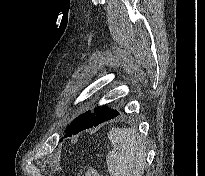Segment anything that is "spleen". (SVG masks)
I'll list each match as a JSON object with an SVG mask.
<instances>
[{
    "label": "spleen",
    "instance_id": "spleen-1",
    "mask_svg": "<svg viewBox=\"0 0 205 176\" xmlns=\"http://www.w3.org/2000/svg\"><path fill=\"white\" fill-rule=\"evenodd\" d=\"M113 145L106 162L111 176H142L147 155L144 140L135 129L113 128L108 133Z\"/></svg>",
    "mask_w": 205,
    "mask_h": 176
}]
</instances>
